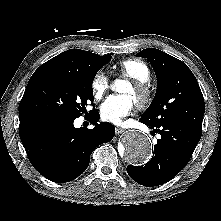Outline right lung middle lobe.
<instances>
[{"label": "right lung middle lobe", "mask_w": 221, "mask_h": 221, "mask_svg": "<svg viewBox=\"0 0 221 221\" xmlns=\"http://www.w3.org/2000/svg\"><path fill=\"white\" fill-rule=\"evenodd\" d=\"M109 60L111 55L101 56L89 71L82 73L58 70L34 73L20 102L19 112L54 113L78 118L86 112L87 102L94 100L93 79Z\"/></svg>", "instance_id": "right-lung-middle-lobe-1"}]
</instances>
